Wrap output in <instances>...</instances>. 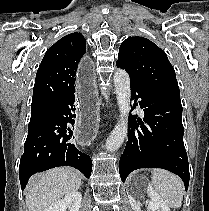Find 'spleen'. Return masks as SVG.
I'll list each match as a JSON object with an SVG mask.
<instances>
[{
	"label": "spleen",
	"instance_id": "obj_1",
	"mask_svg": "<svg viewBox=\"0 0 209 211\" xmlns=\"http://www.w3.org/2000/svg\"><path fill=\"white\" fill-rule=\"evenodd\" d=\"M151 180L156 193L167 206L174 209L181 207L184 185L178 176L163 169H154Z\"/></svg>",
	"mask_w": 209,
	"mask_h": 211
}]
</instances>
